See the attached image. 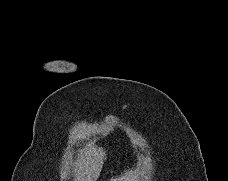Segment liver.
<instances>
[{
  "instance_id": "6515ba94",
  "label": "liver",
  "mask_w": 228,
  "mask_h": 181,
  "mask_svg": "<svg viewBox=\"0 0 228 181\" xmlns=\"http://www.w3.org/2000/svg\"><path fill=\"white\" fill-rule=\"evenodd\" d=\"M79 153V161L75 165L78 171L74 181H97L102 171L105 151H103L102 147H98L97 149L93 145H86ZM110 181H140V177L136 171L127 169V171H123V175L112 177Z\"/></svg>"
}]
</instances>
